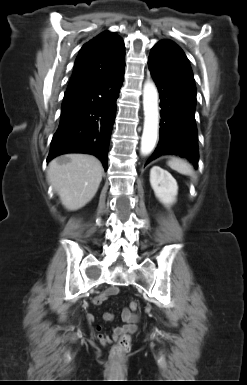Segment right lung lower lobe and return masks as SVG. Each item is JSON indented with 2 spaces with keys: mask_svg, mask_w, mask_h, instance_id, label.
<instances>
[{
  "mask_svg": "<svg viewBox=\"0 0 247 385\" xmlns=\"http://www.w3.org/2000/svg\"><path fill=\"white\" fill-rule=\"evenodd\" d=\"M125 65L118 71L65 92L61 120L47 158L65 153L97 156L105 170L116 100L124 79Z\"/></svg>",
  "mask_w": 247,
  "mask_h": 385,
  "instance_id": "1",
  "label": "right lung lower lobe"
}]
</instances>
